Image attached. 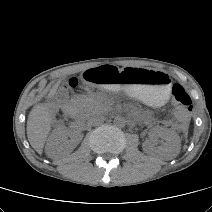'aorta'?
<instances>
[{
	"label": "aorta",
	"mask_w": 212,
	"mask_h": 212,
	"mask_svg": "<svg viewBox=\"0 0 212 212\" xmlns=\"http://www.w3.org/2000/svg\"><path fill=\"white\" fill-rule=\"evenodd\" d=\"M125 123H126V120H125V118L122 117V116H117V117H115V119H114V124H115L116 126H118V127H123V126H125Z\"/></svg>",
	"instance_id": "obj_1"
}]
</instances>
